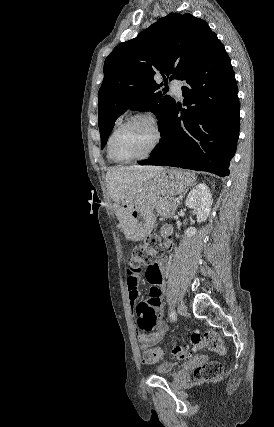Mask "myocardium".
Instances as JSON below:
<instances>
[{"mask_svg": "<svg viewBox=\"0 0 274 427\" xmlns=\"http://www.w3.org/2000/svg\"><path fill=\"white\" fill-rule=\"evenodd\" d=\"M136 120H146L147 122H149L156 132V140H155L154 144L152 145V147L145 154L140 155V156H136V157H133L130 159H124V158L118 156L116 154V152L114 151L113 139H114V136L116 135V133L122 127H124L125 125H127L133 121H136ZM163 140H164L163 130H162L160 124L158 123V121L155 119V117L149 113L140 112V113L133 114L130 117L126 118L124 121L119 123L113 129V131L111 132V134L108 138L107 148H108V153L116 162L132 163V162H136V161L145 160V159H148L149 157H151L159 149V147L162 145Z\"/></svg>", "mask_w": 274, "mask_h": 427, "instance_id": "myocardium-1", "label": "myocardium"}]
</instances>
